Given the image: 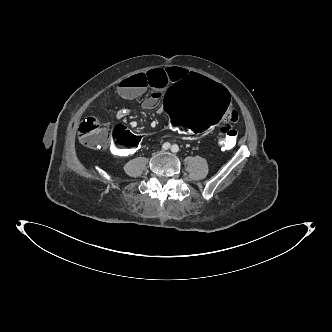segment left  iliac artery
I'll return each instance as SVG.
<instances>
[{
	"mask_svg": "<svg viewBox=\"0 0 332 332\" xmlns=\"http://www.w3.org/2000/svg\"><path fill=\"white\" fill-rule=\"evenodd\" d=\"M171 151L174 152V153H177L179 151L178 145H176V144L172 145Z\"/></svg>",
	"mask_w": 332,
	"mask_h": 332,
	"instance_id": "44dca946",
	"label": "left iliac artery"
}]
</instances>
